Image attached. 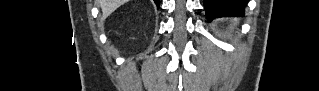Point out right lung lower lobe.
I'll return each mask as SVG.
<instances>
[{"label":"right lung lower lobe","instance_id":"98d812e1","mask_svg":"<svg viewBox=\"0 0 319 91\" xmlns=\"http://www.w3.org/2000/svg\"><path fill=\"white\" fill-rule=\"evenodd\" d=\"M154 2H155V4H156L157 8H159V6H160V0H154Z\"/></svg>","mask_w":319,"mask_h":91}]
</instances>
